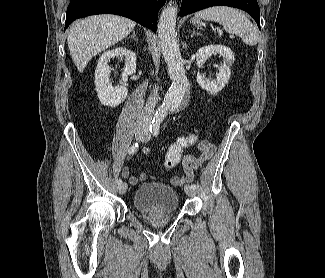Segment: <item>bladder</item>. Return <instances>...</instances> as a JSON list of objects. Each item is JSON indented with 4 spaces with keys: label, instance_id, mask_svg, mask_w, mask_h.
<instances>
[{
    "label": "bladder",
    "instance_id": "31cf9c89",
    "mask_svg": "<svg viewBox=\"0 0 325 278\" xmlns=\"http://www.w3.org/2000/svg\"><path fill=\"white\" fill-rule=\"evenodd\" d=\"M133 206L147 214L171 213L178 210L179 197L177 191L168 184L148 182L137 187Z\"/></svg>",
    "mask_w": 325,
    "mask_h": 278
}]
</instances>
